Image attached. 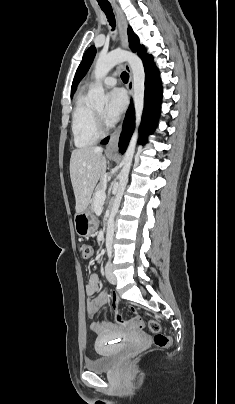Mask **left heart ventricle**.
<instances>
[{"instance_id":"left-heart-ventricle-1","label":"left heart ventricle","mask_w":235,"mask_h":404,"mask_svg":"<svg viewBox=\"0 0 235 404\" xmlns=\"http://www.w3.org/2000/svg\"><path fill=\"white\" fill-rule=\"evenodd\" d=\"M96 111L99 112L100 114H103L104 113V108H98V109H96Z\"/></svg>"}]
</instances>
